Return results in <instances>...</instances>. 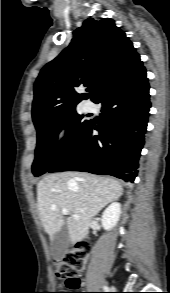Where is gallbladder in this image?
<instances>
[{
  "mask_svg": "<svg viewBox=\"0 0 170 293\" xmlns=\"http://www.w3.org/2000/svg\"><path fill=\"white\" fill-rule=\"evenodd\" d=\"M68 245L69 232L65 223L51 240L50 250L52 257L57 261L62 260L67 253Z\"/></svg>",
  "mask_w": 170,
  "mask_h": 293,
  "instance_id": "1",
  "label": "gallbladder"
}]
</instances>
